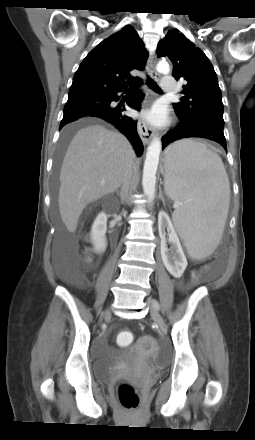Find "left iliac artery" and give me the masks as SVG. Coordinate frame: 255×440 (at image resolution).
<instances>
[{"instance_id": "44dca946", "label": "left iliac artery", "mask_w": 255, "mask_h": 440, "mask_svg": "<svg viewBox=\"0 0 255 440\" xmlns=\"http://www.w3.org/2000/svg\"><path fill=\"white\" fill-rule=\"evenodd\" d=\"M152 302H153V304L159 309V304H158V302L155 301V300H152Z\"/></svg>"}]
</instances>
